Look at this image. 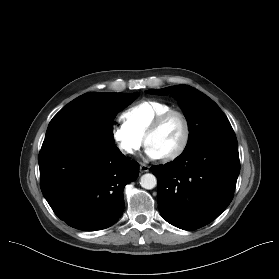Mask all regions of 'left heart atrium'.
<instances>
[{
	"label": "left heart atrium",
	"mask_w": 279,
	"mask_h": 279,
	"mask_svg": "<svg viewBox=\"0 0 279 279\" xmlns=\"http://www.w3.org/2000/svg\"><path fill=\"white\" fill-rule=\"evenodd\" d=\"M146 154L152 159H159L161 155L151 146L146 147Z\"/></svg>",
	"instance_id": "obj_1"
}]
</instances>
